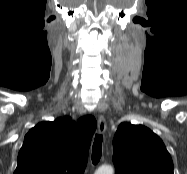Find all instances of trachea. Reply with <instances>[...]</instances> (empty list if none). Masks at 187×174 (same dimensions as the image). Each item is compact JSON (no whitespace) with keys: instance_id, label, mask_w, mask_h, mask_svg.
<instances>
[{"instance_id":"obj_1","label":"trachea","mask_w":187,"mask_h":174,"mask_svg":"<svg viewBox=\"0 0 187 174\" xmlns=\"http://www.w3.org/2000/svg\"><path fill=\"white\" fill-rule=\"evenodd\" d=\"M102 141L103 137L102 135L96 134L93 148H92V162L93 164H97L101 158L102 155Z\"/></svg>"}]
</instances>
